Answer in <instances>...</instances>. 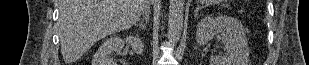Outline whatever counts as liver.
<instances>
[{
  "label": "liver",
  "mask_w": 309,
  "mask_h": 65,
  "mask_svg": "<svg viewBox=\"0 0 309 65\" xmlns=\"http://www.w3.org/2000/svg\"><path fill=\"white\" fill-rule=\"evenodd\" d=\"M150 0H59V38L66 63L79 59L98 40L131 28Z\"/></svg>",
  "instance_id": "1"
}]
</instances>
